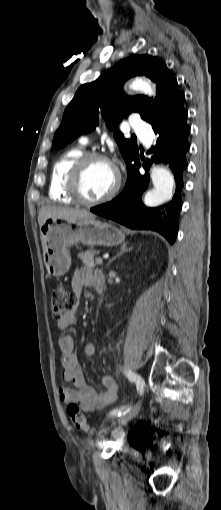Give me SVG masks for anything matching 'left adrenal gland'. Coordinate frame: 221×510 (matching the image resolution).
<instances>
[{
    "label": "left adrenal gland",
    "instance_id": "obj_1",
    "mask_svg": "<svg viewBox=\"0 0 221 510\" xmlns=\"http://www.w3.org/2000/svg\"><path fill=\"white\" fill-rule=\"evenodd\" d=\"M132 248H127V243H124L121 247H120V252L115 256L113 257L112 259L109 260L107 266L110 265V263H112L115 259H117L118 257H120L123 253L125 252H128V251H131Z\"/></svg>",
    "mask_w": 221,
    "mask_h": 510
}]
</instances>
